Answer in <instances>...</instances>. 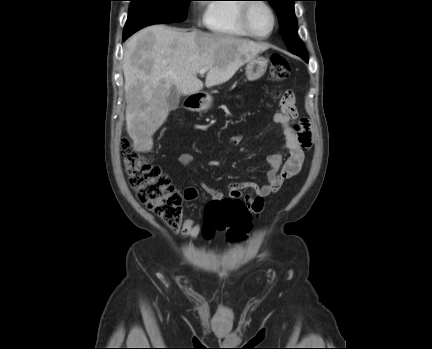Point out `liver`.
Listing matches in <instances>:
<instances>
[{
    "label": "liver",
    "instance_id": "1",
    "mask_svg": "<svg viewBox=\"0 0 432 349\" xmlns=\"http://www.w3.org/2000/svg\"><path fill=\"white\" fill-rule=\"evenodd\" d=\"M268 48L265 43L220 33L164 25L131 36L124 46L123 73L127 131L134 148L151 150L152 136L168 116L172 88L183 95L198 93L204 86L197 77L201 69L208 71L206 87L225 83Z\"/></svg>",
    "mask_w": 432,
    "mask_h": 349
}]
</instances>
